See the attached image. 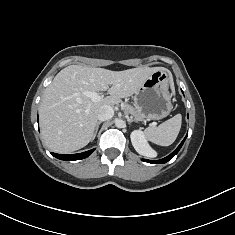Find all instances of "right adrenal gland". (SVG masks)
Returning <instances> with one entry per match:
<instances>
[{
	"label": "right adrenal gland",
	"mask_w": 235,
	"mask_h": 235,
	"mask_svg": "<svg viewBox=\"0 0 235 235\" xmlns=\"http://www.w3.org/2000/svg\"><path fill=\"white\" fill-rule=\"evenodd\" d=\"M101 123H102V121H99V122L97 123L96 128H95V132H94L93 137H92V140H94V139H95L96 134H97L98 129H99V125H100Z\"/></svg>",
	"instance_id": "1"
}]
</instances>
